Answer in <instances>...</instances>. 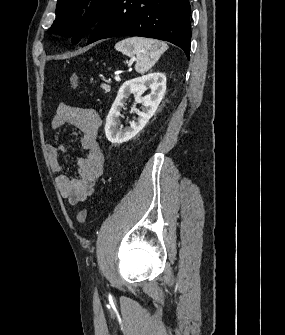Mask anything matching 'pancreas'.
I'll list each match as a JSON object with an SVG mask.
<instances>
[{"mask_svg": "<svg viewBox=\"0 0 285 335\" xmlns=\"http://www.w3.org/2000/svg\"><path fill=\"white\" fill-rule=\"evenodd\" d=\"M101 88H103V90H105V94H106V92H110V90H111V86H108V84H102Z\"/></svg>", "mask_w": 285, "mask_h": 335, "instance_id": "pancreas-1", "label": "pancreas"}]
</instances>
